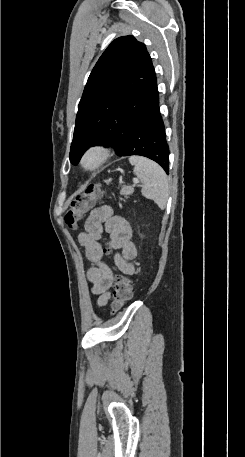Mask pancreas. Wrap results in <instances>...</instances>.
Returning <instances> with one entry per match:
<instances>
[{"mask_svg":"<svg viewBox=\"0 0 245 457\" xmlns=\"http://www.w3.org/2000/svg\"><path fill=\"white\" fill-rule=\"evenodd\" d=\"M133 192H134L133 186H126V184H124V186H122V188L120 190V194H133ZM120 200H124V198H120Z\"/></svg>","mask_w":245,"mask_h":457,"instance_id":"obj_1","label":"pancreas"}]
</instances>
